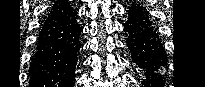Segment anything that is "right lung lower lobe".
I'll use <instances>...</instances> for the list:
<instances>
[{
  "label": "right lung lower lobe",
  "instance_id": "98d812e1",
  "mask_svg": "<svg viewBox=\"0 0 205 87\" xmlns=\"http://www.w3.org/2000/svg\"><path fill=\"white\" fill-rule=\"evenodd\" d=\"M77 17L68 0L51 7L30 64V87H72L81 46Z\"/></svg>",
  "mask_w": 205,
  "mask_h": 87
}]
</instances>
